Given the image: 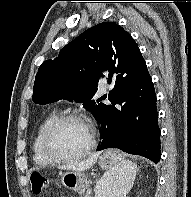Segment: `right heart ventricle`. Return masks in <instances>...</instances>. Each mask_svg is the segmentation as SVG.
Returning <instances> with one entry per match:
<instances>
[{"instance_id": "1", "label": "right heart ventricle", "mask_w": 191, "mask_h": 197, "mask_svg": "<svg viewBox=\"0 0 191 197\" xmlns=\"http://www.w3.org/2000/svg\"><path fill=\"white\" fill-rule=\"evenodd\" d=\"M58 116L56 111L48 113L42 122L39 124L35 137L32 143L33 161L37 166H48L53 164V161L48 159L41 150V136L47 125Z\"/></svg>"}]
</instances>
